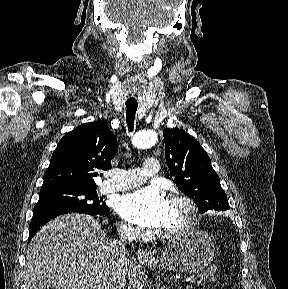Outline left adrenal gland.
<instances>
[{
	"instance_id": "1",
	"label": "left adrenal gland",
	"mask_w": 288,
	"mask_h": 289,
	"mask_svg": "<svg viewBox=\"0 0 288 289\" xmlns=\"http://www.w3.org/2000/svg\"><path fill=\"white\" fill-rule=\"evenodd\" d=\"M155 287L157 289H169L170 288V286H162L159 281L155 284Z\"/></svg>"
}]
</instances>
